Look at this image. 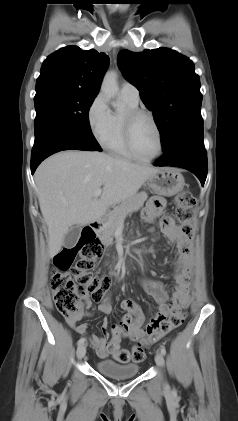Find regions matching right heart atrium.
Listing matches in <instances>:
<instances>
[{
	"label": "right heart atrium",
	"instance_id": "right-heart-atrium-1",
	"mask_svg": "<svg viewBox=\"0 0 238 421\" xmlns=\"http://www.w3.org/2000/svg\"><path fill=\"white\" fill-rule=\"evenodd\" d=\"M112 113L102 93L91 102L87 110V121L94 137L102 143L111 127Z\"/></svg>",
	"mask_w": 238,
	"mask_h": 421
}]
</instances>
